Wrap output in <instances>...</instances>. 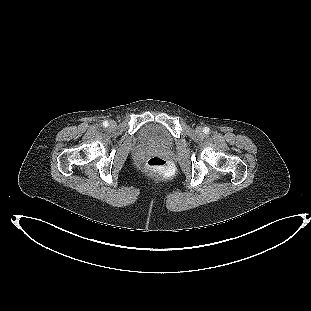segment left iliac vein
I'll return each mask as SVG.
<instances>
[{
    "label": "left iliac vein",
    "mask_w": 311,
    "mask_h": 311,
    "mask_svg": "<svg viewBox=\"0 0 311 311\" xmlns=\"http://www.w3.org/2000/svg\"><path fill=\"white\" fill-rule=\"evenodd\" d=\"M196 132H197L198 134H202V132H203L202 127H201V126H198V127L196 128Z\"/></svg>",
    "instance_id": "4c4485c4"
}]
</instances>
